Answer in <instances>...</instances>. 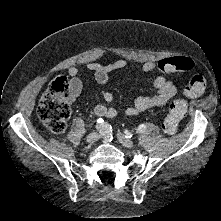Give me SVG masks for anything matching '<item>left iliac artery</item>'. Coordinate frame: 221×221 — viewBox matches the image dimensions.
Here are the masks:
<instances>
[{
  "label": "left iliac artery",
  "mask_w": 221,
  "mask_h": 221,
  "mask_svg": "<svg viewBox=\"0 0 221 221\" xmlns=\"http://www.w3.org/2000/svg\"><path fill=\"white\" fill-rule=\"evenodd\" d=\"M146 129V126L144 124H141L138 129H137V132L138 133H143Z\"/></svg>",
  "instance_id": "left-iliac-artery-1"
}]
</instances>
